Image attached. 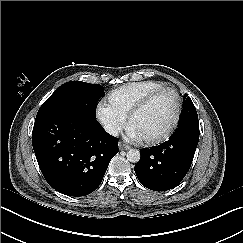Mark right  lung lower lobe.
Masks as SVG:
<instances>
[{
  "instance_id": "98d812e1",
  "label": "right lung lower lobe",
  "mask_w": 243,
  "mask_h": 243,
  "mask_svg": "<svg viewBox=\"0 0 243 243\" xmlns=\"http://www.w3.org/2000/svg\"><path fill=\"white\" fill-rule=\"evenodd\" d=\"M32 145L40 170L55 190L85 196L102 182L118 139L80 107L63 104L37 113Z\"/></svg>"
}]
</instances>
